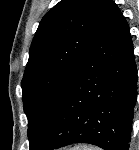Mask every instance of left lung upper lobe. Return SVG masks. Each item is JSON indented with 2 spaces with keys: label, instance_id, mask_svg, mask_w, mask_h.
Here are the masks:
<instances>
[{
  "label": "left lung upper lobe",
  "instance_id": "1",
  "mask_svg": "<svg viewBox=\"0 0 139 150\" xmlns=\"http://www.w3.org/2000/svg\"><path fill=\"white\" fill-rule=\"evenodd\" d=\"M113 4L111 0H61L42 18L21 82L30 147L46 128L59 94Z\"/></svg>",
  "mask_w": 139,
  "mask_h": 150
}]
</instances>
